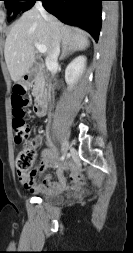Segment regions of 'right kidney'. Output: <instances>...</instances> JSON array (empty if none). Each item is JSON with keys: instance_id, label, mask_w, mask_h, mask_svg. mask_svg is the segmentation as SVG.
Segmentation results:
<instances>
[{"instance_id": "1", "label": "right kidney", "mask_w": 133, "mask_h": 253, "mask_svg": "<svg viewBox=\"0 0 133 253\" xmlns=\"http://www.w3.org/2000/svg\"><path fill=\"white\" fill-rule=\"evenodd\" d=\"M86 58L84 56L76 57L66 68L65 80L71 87L78 80L85 67Z\"/></svg>"}]
</instances>
